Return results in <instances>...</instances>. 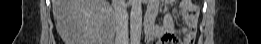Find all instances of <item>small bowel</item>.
<instances>
[{
    "label": "small bowel",
    "instance_id": "small-bowel-1",
    "mask_svg": "<svg viewBox=\"0 0 261 44\" xmlns=\"http://www.w3.org/2000/svg\"><path fill=\"white\" fill-rule=\"evenodd\" d=\"M170 3L171 1L166 2V4ZM158 6V1H152L147 9V16H149L153 21L151 32L147 35L148 43L193 44L196 38L198 26L197 7L194 4L192 6H181L180 14L184 17L186 25L182 28H177L174 22V17L169 11L165 13L162 25H157L155 23ZM178 35L183 36L182 40L178 39Z\"/></svg>",
    "mask_w": 261,
    "mask_h": 44
}]
</instances>
